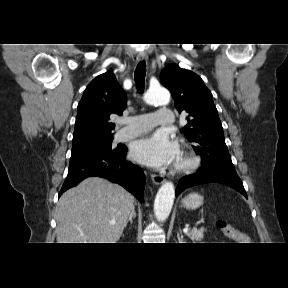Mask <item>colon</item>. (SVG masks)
Wrapping results in <instances>:
<instances>
[{
  "mask_svg": "<svg viewBox=\"0 0 288 288\" xmlns=\"http://www.w3.org/2000/svg\"><path fill=\"white\" fill-rule=\"evenodd\" d=\"M216 225L221 230L224 237L231 241H239L243 238V234L241 232L224 220H218Z\"/></svg>",
  "mask_w": 288,
  "mask_h": 288,
  "instance_id": "colon-1",
  "label": "colon"
}]
</instances>
